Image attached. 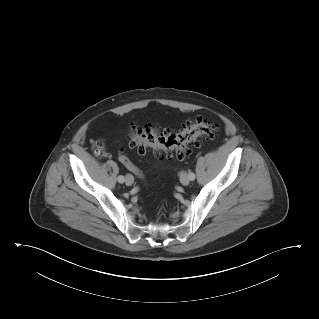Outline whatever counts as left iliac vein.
I'll return each mask as SVG.
<instances>
[{"label": "left iliac vein", "instance_id": "1", "mask_svg": "<svg viewBox=\"0 0 319 319\" xmlns=\"http://www.w3.org/2000/svg\"><path fill=\"white\" fill-rule=\"evenodd\" d=\"M180 181L184 186H187L190 183V179L186 172H182L180 175Z\"/></svg>", "mask_w": 319, "mask_h": 319}]
</instances>
